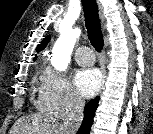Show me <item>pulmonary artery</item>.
I'll return each mask as SVG.
<instances>
[{
    "mask_svg": "<svg viewBox=\"0 0 153 134\" xmlns=\"http://www.w3.org/2000/svg\"><path fill=\"white\" fill-rule=\"evenodd\" d=\"M75 59L77 63L82 66H91L95 62L93 52L89 47L86 46H82L77 49L75 53Z\"/></svg>",
    "mask_w": 153,
    "mask_h": 134,
    "instance_id": "obj_1",
    "label": "pulmonary artery"
}]
</instances>
